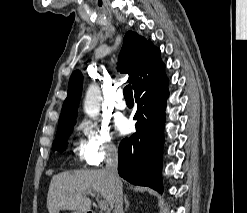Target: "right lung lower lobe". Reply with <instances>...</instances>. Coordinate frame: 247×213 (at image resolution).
<instances>
[{
  "instance_id": "obj_1",
  "label": "right lung lower lobe",
  "mask_w": 247,
  "mask_h": 213,
  "mask_svg": "<svg viewBox=\"0 0 247 213\" xmlns=\"http://www.w3.org/2000/svg\"><path fill=\"white\" fill-rule=\"evenodd\" d=\"M168 79L164 69L134 89L136 133L119 145L118 172L132 184L163 192L161 169Z\"/></svg>"
}]
</instances>
